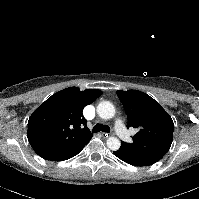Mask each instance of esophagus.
<instances>
[{
	"label": "esophagus",
	"mask_w": 199,
	"mask_h": 199,
	"mask_svg": "<svg viewBox=\"0 0 199 199\" xmlns=\"http://www.w3.org/2000/svg\"><path fill=\"white\" fill-rule=\"evenodd\" d=\"M101 135L103 136V137H110V136H112L113 134L112 133H105V132H102L101 133Z\"/></svg>",
	"instance_id": "1"
}]
</instances>
